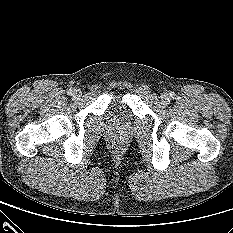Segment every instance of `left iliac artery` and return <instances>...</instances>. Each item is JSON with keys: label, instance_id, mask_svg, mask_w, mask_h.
<instances>
[{"label": "left iliac artery", "instance_id": "left-iliac-artery-1", "mask_svg": "<svg viewBox=\"0 0 233 233\" xmlns=\"http://www.w3.org/2000/svg\"><path fill=\"white\" fill-rule=\"evenodd\" d=\"M175 96V94H174V92H170V97H174Z\"/></svg>", "mask_w": 233, "mask_h": 233}]
</instances>
